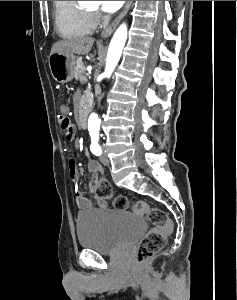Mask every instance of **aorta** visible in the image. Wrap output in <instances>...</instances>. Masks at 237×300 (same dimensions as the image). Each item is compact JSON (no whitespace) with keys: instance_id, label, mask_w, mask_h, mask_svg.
<instances>
[{"instance_id":"obj_1","label":"aorta","mask_w":237,"mask_h":300,"mask_svg":"<svg viewBox=\"0 0 237 300\" xmlns=\"http://www.w3.org/2000/svg\"><path fill=\"white\" fill-rule=\"evenodd\" d=\"M126 39H127V25L123 23V25H120V27H118L117 31H115L111 39L103 77H111L122 55V51L125 47ZM88 129H100V119H98V115H96V113H91L88 119Z\"/></svg>"}]
</instances>
